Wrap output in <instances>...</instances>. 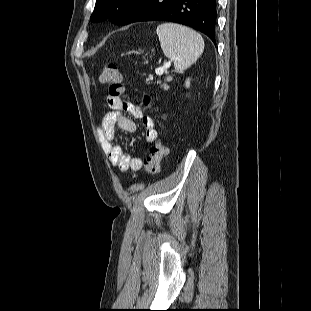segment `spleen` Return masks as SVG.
Returning a JSON list of instances; mask_svg holds the SVG:
<instances>
[{
  "label": "spleen",
  "mask_w": 311,
  "mask_h": 311,
  "mask_svg": "<svg viewBox=\"0 0 311 311\" xmlns=\"http://www.w3.org/2000/svg\"><path fill=\"white\" fill-rule=\"evenodd\" d=\"M165 56L173 60L175 71L183 72L200 57L204 40L199 33L176 23H163L156 29Z\"/></svg>",
  "instance_id": "3e777b00"
}]
</instances>
